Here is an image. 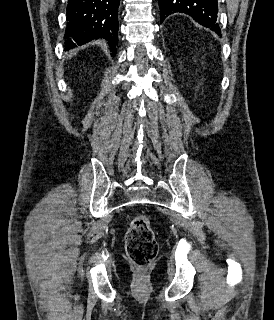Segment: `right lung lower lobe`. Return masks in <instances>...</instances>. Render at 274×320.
Returning <instances> with one entry per match:
<instances>
[{
	"label": "right lung lower lobe",
	"mask_w": 274,
	"mask_h": 320,
	"mask_svg": "<svg viewBox=\"0 0 274 320\" xmlns=\"http://www.w3.org/2000/svg\"><path fill=\"white\" fill-rule=\"evenodd\" d=\"M120 0H68L65 50L92 39L108 40L111 55L118 41V7Z\"/></svg>",
	"instance_id": "right-lung-lower-lobe-1"
}]
</instances>
